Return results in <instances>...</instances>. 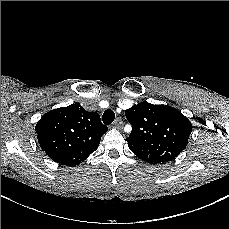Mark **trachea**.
<instances>
[{"label": "trachea", "instance_id": "trachea-1", "mask_svg": "<svg viewBox=\"0 0 229 229\" xmlns=\"http://www.w3.org/2000/svg\"><path fill=\"white\" fill-rule=\"evenodd\" d=\"M115 119V113L111 109L105 110V112L102 115L103 123L106 125L112 124Z\"/></svg>", "mask_w": 229, "mask_h": 229}]
</instances>
